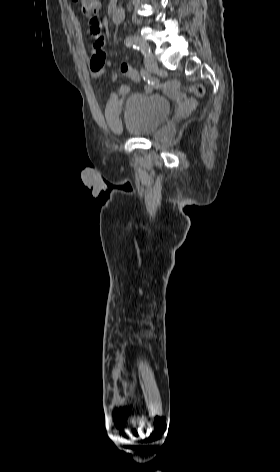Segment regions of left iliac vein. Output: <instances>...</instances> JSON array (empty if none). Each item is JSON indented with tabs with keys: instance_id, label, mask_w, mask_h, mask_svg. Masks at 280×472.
Listing matches in <instances>:
<instances>
[{
	"instance_id": "obj_1",
	"label": "left iliac vein",
	"mask_w": 280,
	"mask_h": 472,
	"mask_svg": "<svg viewBox=\"0 0 280 472\" xmlns=\"http://www.w3.org/2000/svg\"><path fill=\"white\" fill-rule=\"evenodd\" d=\"M146 45V44H145ZM147 50L145 51L144 56V65L148 70H154L157 68V61L155 56L152 54L151 49L147 46Z\"/></svg>"
}]
</instances>
